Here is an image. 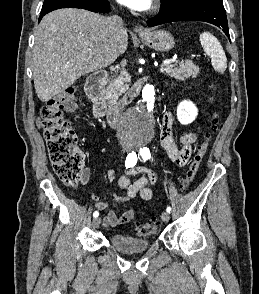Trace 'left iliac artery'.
<instances>
[{
  "instance_id": "44dca946",
  "label": "left iliac artery",
  "mask_w": 259,
  "mask_h": 294,
  "mask_svg": "<svg viewBox=\"0 0 259 294\" xmlns=\"http://www.w3.org/2000/svg\"><path fill=\"white\" fill-rule=\"evenodd\" d=\"M140 155L143 160H148L151 157L150 150L147 147L140 148ZM166 211L170 213L171 207L168 206Z\"/></svg>"
}]
</instances>
